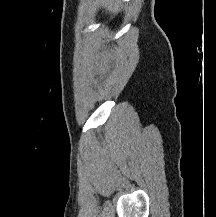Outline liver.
Masks as SVG:
<instances>
[{
  "mask_svg": "<svg viewBox=\"0 0 216 217\" xmlns=\"http://www.w3.org/2000/svg\"><path fill=\"white\" fill-rule=\"evenodd\" d=\"M103 3H105V7H107L108 9H112L113 7H115V9H116V7H117V5H118V1H116L115 2V4L113 3V1L112 0H110V3L108 4V3H106L107 1L105 0H103L102 1Z\"/></svg>",
  "mask_w": 216,
  "mask_h": 217,
  "instance_id": "6515ba94",
  "label": "liver"
}]
</instances>
